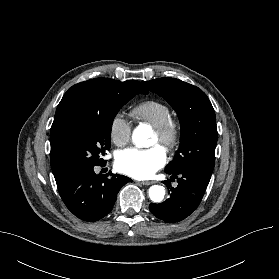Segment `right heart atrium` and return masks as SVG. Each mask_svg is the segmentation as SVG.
<instances>
[{"label": "right heart atrium", "instance_id": "1", "mask_svg": "<svg viewBox=\"0 0 279 279\" xmlns=\"http://www.w3.org/2000/svg\"><path fill=\"white\" fill-rule=\"evenodd\" d=\"M132 124L121 113H116L109 123V137L116 146H124L131 137Z\"/></svg>", "mask_w": 279, "mask_h": 279}]
</instances>
